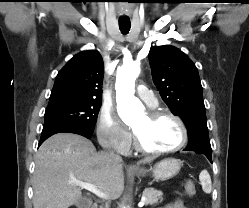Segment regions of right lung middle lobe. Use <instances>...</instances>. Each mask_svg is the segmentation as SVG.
I'll use <instances>...</instances> for the list:
<instances>
[{"label": "right lung middle lobe", "mask_w": 249, "mask_h": 208, "mask_svg": "<svg viewBox=\"0 0 249 208\" xmlns=\"http://www.w3.org/2000/svg\"><path fill=\"white\" fill-rule=\"evenodd\" d=\"M101 103L100 100H87L47 107L44 124L67 125L93 133Z\"/></svg>", "instance_id": "dd1d6c3e"}]
</instances>
